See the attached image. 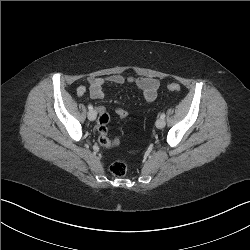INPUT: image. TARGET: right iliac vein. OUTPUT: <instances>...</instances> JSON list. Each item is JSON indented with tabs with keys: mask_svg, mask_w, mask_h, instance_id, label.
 I'll return each instance as SVG.
<instances>
[{
	"mask_svg": "<svg viewBox=\"0 0 250 250\" xmlns=\"http://www.w3.org/2000/svg\"><path fill=\"white\" fill-rule=\"evenodd\" d=\"M87 116H88V119H89V120L93 121V120L96 119L97 113H96L95 110H90V111L88 112V115H87Z\"/></svg>",
	"mask_w": 250,
	"mask_h": 250,
	"instance_id": "right-iliac-vein-1",
	"label": "right iliac vein"
}]
</instances>
